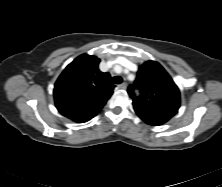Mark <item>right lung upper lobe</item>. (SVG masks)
<instances>
[{"instance_id": "right-lung-upper-lobe-1", "label": "right lung upper lobe", "mask_w": 222, "mask_h": 187, "mask_svg": "<svg viewBox=\"0 0 222 187\" xmlns=\"http://www.w3.org/2000/svg\"><path fill=\"white\" fill-rule=\"evenodd\" d=\"M100 59L83 54L71 62L55 83L54 99L65 117L84 123L98 114L113 94L110 74L98 69Z\"/></svg>"}]
</instances>
